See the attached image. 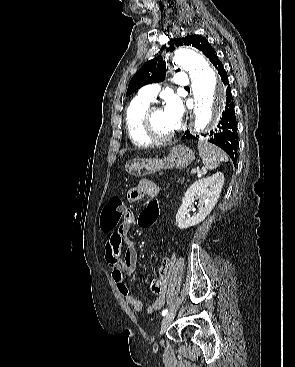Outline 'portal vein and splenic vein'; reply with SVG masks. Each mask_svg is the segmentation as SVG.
I'll list each match as a JSON object with an SVG mask.
<instances>
[{
  "mask_svg": "<svg viewBox=\"0 0 295 367\" xmlns=\"http://www.w3.org/2000/svg\"><path fill=\"white\" fill-rule=\"evenodd\" d=\"M191 173H192V174H196V173H197V171H196L195 169H192V170H191Z\"/></svg>",
  "mask_w": 295,
  "mask_h": 367,
  "instance_id": "18ae733b",
  "label": "portal vein and splenic vein"
}]
</instances>
